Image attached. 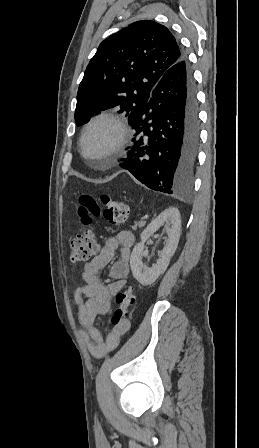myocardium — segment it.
<instances>
[{
	"mask_svg": "<svg viewBox=\"0 0 259 448\" xmlns=\"http://www.w3.org/2000/svg\"><path fill=\"white\" fill-rule=\"evenodd\" d=\"M98 124H108L113 128L114 134L106 146L104 158L105 160L114 162L118 156L119 150L124 143L126 137V126L124 121L116 114L113 113H100L92 117L83 127L79 137V154L86 160L84 155V140L89 130Z\"/></svg>",
	"mask_w": 259,
	"mask_h": 448,
	"instance_id": "f54148a6",
	"label": "myocardium"
}]
</instances>
